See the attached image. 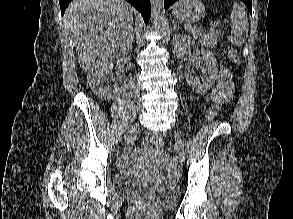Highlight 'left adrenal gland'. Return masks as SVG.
<instances>
[{
  "label": "left adrenal gland",
  "mask_w": 293,
  "mask_h": 219,
  "mask_svg": "<svg viewBox=\"0 0 293 219\" xmlns=\"http://www.w3.org/2000/svg\"><path fill=\"white\" fill-rule=\"evenodd\" d=\"M178 26H179V23L173 20V29L176 30Z\"/></svg>",
  "instance_id": "1"
}]
</instances>
